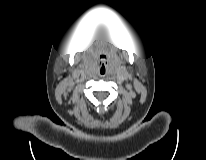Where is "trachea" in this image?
I'll use <instances>...</instances> for the list:
<instances>
[{
	"label": "trachea",
	"instance_id": "3493384b",
	"mask_svg": "<svg viewBox=\"0 0 206 160\" xmlns=\"http://www.w3.org/2000/svg\"><path fill=\"white\" fill-rule=\"evenodd\" d=\"M104 73H105V69L101 68V74H104Z\"/></svg>",
	"mask_w": 206,
	"mask_h": 160
}]
</instances>
